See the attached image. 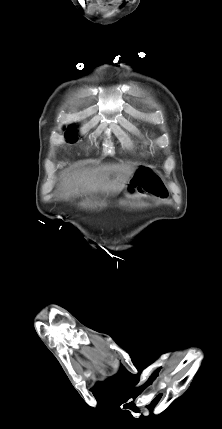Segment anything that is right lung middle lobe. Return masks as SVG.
<instances>
[{
    "mask_svg": "<svg viewBox=\"0 0 222 429\" xmlns=\"http://www.w3.org/2000/svg\"><path fill=\"white\" fill-rule=\"evenodd\" d=\"M75 134H76V131L74 130V128L69 127L66 133V137L68 138V141L75 142L77 140Z\"/></svg>",
    "mask_w": 222,
    "mask_h": 429,
    "instance_id": "1",
    "label": "right lung middle lobe"
}]
</instances>
